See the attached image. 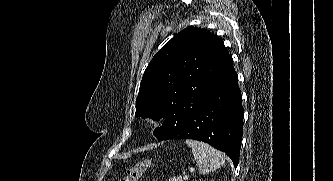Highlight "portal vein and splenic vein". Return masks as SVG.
<instances>
[{
	"label": "portal vein and splenic vein",
	"instance_id": "obj_1",
	"mask_svg": "<svg viewBox=\"0 0 333 181\" xmlns=\"http://www.w3.org/2000/svg\"><path fill=\"white\" fill-rule=\"evenodd\" d=\"M183 179H184V180H188V179H189V175H185V176L183 177Z\"/></svg>",
	"mask_w": 333,
	"mask_h": 181
}]
</instances>
